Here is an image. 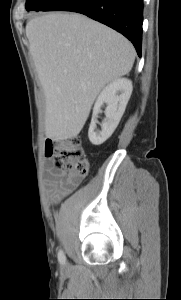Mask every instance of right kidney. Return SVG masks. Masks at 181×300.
Listing matches in <instances>:
<instances>
[{
    "label": "right kidney",
    "instance_id": "1",
    "mask_svg": "<svg viewBox=\"0 0 181 300\" xmlns=\"http://www.w3.org/2000/svg\"><path fill=\"white\" fill-rule=\"evenodd\" d=\"M132 82L126 78H118L108 84L100 93L94 105L93 117L88 131V137L93 145L103 144L114 132L125 111L132 93ZM106 120L101 124V131L96 130L97 116L101 113L103 104Z\"/></svg>",
    "mask_w": 181,
    "mask_h": 300
}]
</instances>
